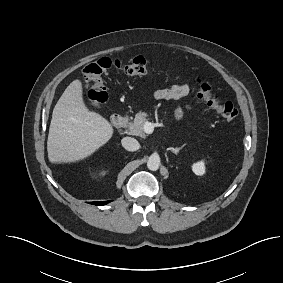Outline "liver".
Returning a JSON list of instances; mask_svg holds the SVG:
<instances>
[{
  "mask_svg": "<svg viewBox=\"0 0 283 283\" xmlns=\"http://www.w3.org/2000/svg\"><path fill=\"white\" fill-rule=\"evenodd\" d=\"M114 133L100 114L90 111L83 99L82 83L71 82L52 113L47 151L52 164L86 159L104 146Z\"/></svg>",
  "mask_w": 283,
  "mask_h": 283,
  "instance_id": "1",
  "label": "liver"
}]
</instances>
